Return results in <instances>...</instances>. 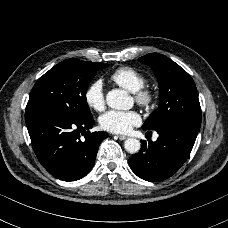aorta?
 Returning a JSON list of instances; mask_svg holds the SVG:
<instances>
[{
	"label": "aorta",
	"mask_w": 228,
	"mask_h": 228,
	"mask_svg": "<svg viewBox=\"0 0 228 228\" xmlns=\"http://www.w3.org/2000/svg\"><path fill=\"white\" fill-rule=\"evenodd\" d=\"M107 105L115 110H128L133 106V98L127 91L121 89H112L106 95ZM141 143L136 138H128L124 142V148L130 154L137 153L140 150Z\"/></svg>",
	"instance_id": "762f6f07"
}]
</instances>
